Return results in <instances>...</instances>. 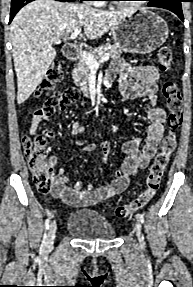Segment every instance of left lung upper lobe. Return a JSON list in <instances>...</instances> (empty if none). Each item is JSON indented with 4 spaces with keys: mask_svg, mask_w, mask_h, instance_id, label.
<instances>
[{
    "mask_svg": "<svg viewBox=\"0 0 193 287\" xmlns=\"http://www.w3.org/2000/svg\"><path fill=\"white\" fill-rule=\"evenodd\" d=\"M146 1H149L148 4H154V3L160 2L162 0H146Z\"/></svg>",
    "mask_w": 193,
    "mask_h": 287,
    "instance_id": "5c2ea615",
    "label": "left lung upper lobe"
}]
</instances>
